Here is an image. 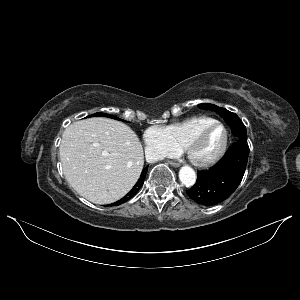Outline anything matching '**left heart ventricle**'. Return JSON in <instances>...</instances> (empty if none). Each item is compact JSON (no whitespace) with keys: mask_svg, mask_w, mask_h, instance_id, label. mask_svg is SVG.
Returning <instances> with one entry per match:
<instances>
[{"mask_svg":"<svg viewBox=\"0 0 300 300\" xmlns=\"http://www.w3.org/2000/svg\"><path fill=\"white\" fill-rule=\"evenodd\" d=\"M223 135L222 128H213L194 150V157L197 160H207L214 156L222 144Z\"/></svg>","mask_w":300,"mask_h":300,"instance_id":"1","label":"left heart ventricle"}]
</instances>
